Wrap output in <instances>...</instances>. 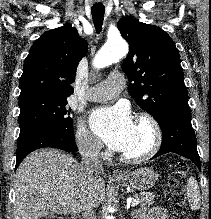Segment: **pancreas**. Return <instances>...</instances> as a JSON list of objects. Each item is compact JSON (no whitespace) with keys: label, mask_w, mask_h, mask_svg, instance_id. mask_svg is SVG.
Returning <instances> with one entry per match:
<instances>
[{"label":"pancreas","mask_w":211,"mask_h":219,"mask_svg":"<svg viewBox=\"0 0 211 219\" xmlns=\"http://www.w3.org/2000/svg\"><path fill=\"white\" fill-rule=\"evenodd\" d=\"M141 206L152 205L154 203L155 194L151 192H143L142 196L135 195Z\"/></svg>","instance_id":"pancreas-1"}]
</instances>
